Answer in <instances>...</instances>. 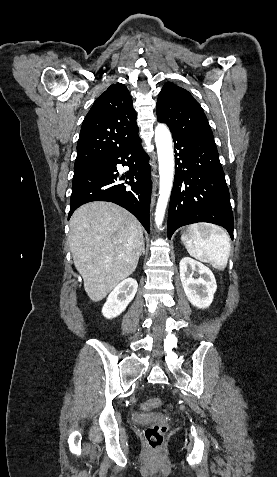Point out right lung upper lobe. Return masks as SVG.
Masks as SVG:
<instances>
[{"mask_svg":"<svg viewBox=\"0 0 277 477\" xmlns=\"http://www.w3.org/2000/svg\"><path fill=\"white\" fill-rule=\"evenodd\" d=\"M131 95L124 84H112L86 115L77 143L74 169L89 167L137 139Z\"/></svg>","mask_w":277,"mask_h":477,"instance_id":"right-lung-upper-lobe-1","label":"right lung upper lobe"}]
</instances>
